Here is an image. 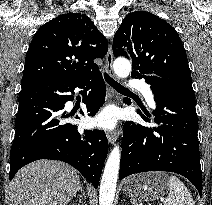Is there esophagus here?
<instances>
[{
    "instance_id": "esophagus-1",
    "label": "esophagus",
    "mask_w": 212,
    "mask_h": 205,
    "mask_svg": "<svg viewBox=\"0 0 212 205\" xmlns=\"http://www.w3.org/2000/svg\"><path fill=\"white\" fill-rule=\"evenodd\" d=\"M106 70L111 77H114L113 51H112L111 45L109 46L108 52L106 54ZM107 139H108L109 143L113 144L117 139L116 132H114V131L107 132Z\"/></svg>"
}]
</instances>
